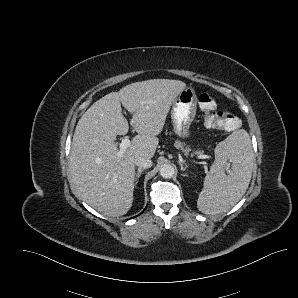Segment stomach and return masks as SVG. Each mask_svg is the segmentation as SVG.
<instances>
[{"instance_id":"obj_1","label":"stomach","mask_w":298,"mask_h":298,"mask_svg":"<svg viewBox=\"0 0 298 298\" xmlns=\"http://www.w3.org/2000/svg\"><path fill=\"white\" fill-rule=\"evenodd\" d=\"M197 112V95L195 89L186 87L174 100L170 112L174 134L181 138L190 137V127Z\"/></svg>"}]
</instances>
